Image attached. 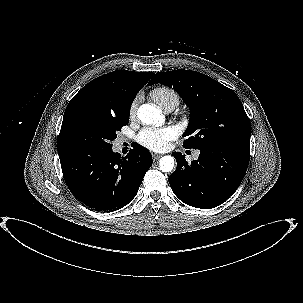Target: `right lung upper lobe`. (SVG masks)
<instances>
[{"label": "right lung upper lobe", "instance_id": "cb5924a9", "mask_svg": "<svg viewBox=\"0 0 303 303\" xmlns=\"http://www.w3.org/2000/svg\"><path fill=\"white\" fill-rule=\"evenodd\" d=\"M154 73L117 70L85 85L69 102L65 114L78 106H90L116 118L129 116L131 104ZM60 158L67 155L59 154Z\"/></svg>", "mask_w": 303, "mask_h": 303}]
</instances>
